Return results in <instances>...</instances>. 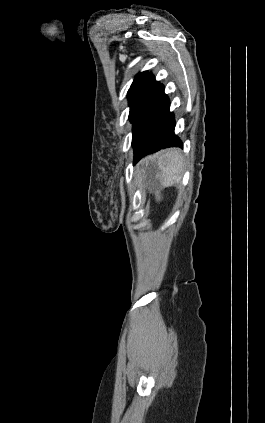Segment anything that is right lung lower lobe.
<instances>
[{
  "instance_id": "obj_1",
  "label": "right lung lower lobe",
  "mask_w": 265,
  "mask_h": 423,
  "mask_svg": "<svg viewBox=\"0 0 265 423\" xmlns=\"http://www.w3.org/2000/svg\"><path fill=\"white\" fill-rule=\"evenodd\" d=\"M170 102L159 85L146 99L133 120L132 145L134 164L147 154L166 147L180 146L175 135V118L170 112Z\"/></svg>"
}]
</instances>
